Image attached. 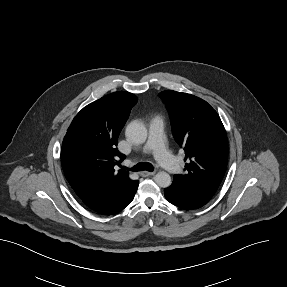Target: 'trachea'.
<instances>
[{
    "label": "trachea",
    "instance_id": "trachea-1",
    "mask_svg": "<svg viewBox=\"0 0 287 287\" xmlns=\"http://www.w3.org/2000/svg\"><path fill=\"white\" fill-rule=\"evenodd\" d=\"M122 170H132L135 172L146 170V171L152 172L154 170V167L150 163L140 162V163L136 164L135 166H133L132 168L122 167Z\"/></svg>",
    "mask_w": 287,
    "mask_h": 287
}]
</instances>
